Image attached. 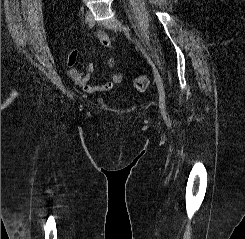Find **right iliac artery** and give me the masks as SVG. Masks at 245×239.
Segmentation results:
<instances>
[{
    "label": "right iliac artery",
    "mask_w": 245,
    "mask_h": 239,
    "mask_svg": "<svg viewBox=\"0 0 245 239\" xmlns=\"http://www.w3.org/2000/svg\"><path fill=\"white\" fill-rule=\"evenodd\" d=\"M94 24L95 23L93 21L89 24V30H91L94 27Z\"/></svg>",
    "instance_id": "right-iliac-artery-1"
}]
</instances>
